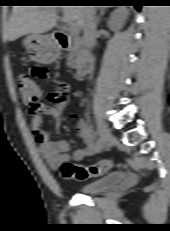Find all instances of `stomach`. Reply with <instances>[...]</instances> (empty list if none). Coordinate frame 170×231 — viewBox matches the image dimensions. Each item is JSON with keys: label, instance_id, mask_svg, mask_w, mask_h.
<instances>
[{"label": "stomach", "instance_id": "0dacf381", "mask_svg": "<svg viewBox=\"0 0 170 231\" xmlns=\"http://www.w3.org/2000/svg\"><path fill=\"white\" fill-rule=\"evenodd\" d=\"M22 43L30 58L38 63H52L59 55L56 43L48 35L29 34Z\"/></svg>", "mask_w": 170, "mask_h": 231}]
</instances>
